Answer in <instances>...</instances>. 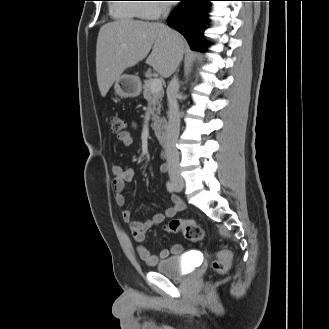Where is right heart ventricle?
<instances>
[{"label": "right heart ventricle", "mask_w": 329, "mask_h": 329, "mask_svg": "<svg viewBox=\"0 0 329 329\" xmlns=\"http://www.w3.org/2000/svg\"><path fill=\"white\" fill-rule=\"evenodd\" d=\"M116 1L128 2V3L113 4L111 7V13L113 16L127 20L144 19L145 5L138 3H130V2H138V0H116Z\"/></svg>", "instance_id": "1"}]
</instances>
